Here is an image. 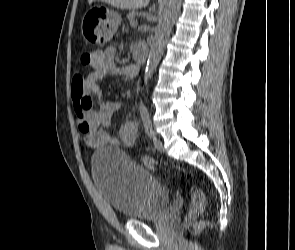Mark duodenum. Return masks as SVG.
I'll list each match as a JSON object with an SVG mask.
<instances>
[{"instance_id":"410a0bca","label":"duodenum","mask_w":295,"mask_h":250,"mask_svg":"<svg viewBox=\"0 0 295 250\" xmlns=\"http://www.w3.org/2000/svg\"><path fill=\"white\" fill-rule=\"evenodd\" d=\"M134 56L138 66H141L147 56V50L144 47H135L134 48Z\"/></svg>"}]
</instances>
